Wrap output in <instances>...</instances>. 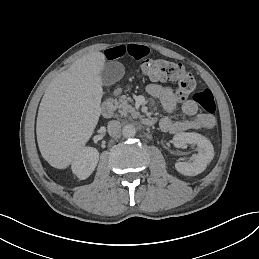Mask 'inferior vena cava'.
<instances>
[{
  "label": "inferior vena cava",
  "instance_id": "obj_1",
  "mask_svg": "<svg viewBox=\"0 0 259 259\" xmlns=\"http://www.w3.org/2000/svg\"><path fill=\"white\" fill-rule=\"evenodd\" d=\"M107 130L110 136L119 138L121 135V124L119 121L113 120L108 123Z\"/></svg>",
  "mask_w": 259,
  "mask_h": 259
}]
</instances>
